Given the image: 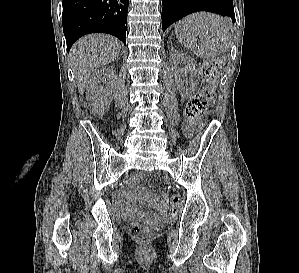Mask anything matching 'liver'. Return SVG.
I'll list each match as a JSON object with an SVG mask.
<instances>
[{
  "label": "liver",
  "instance_id": "1",
  "mask_svg": "<svg viewBox=\"0 0 299 273\" xmlns=\"http://www.w3.org/2000/svg\"><path fill=\"white\" fill-rule=\"evenodd\" d=\"M120 50L119 40L110 35L91 34L76 41L69 56L80 94L84 92L91 73L114 61Z\"/></svg>",
  "mask_w": 299,
  "mask_h": 273
}]
</instances>
